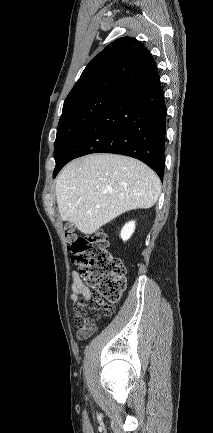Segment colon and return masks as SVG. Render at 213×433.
I'll return each mask as SVG.
<instances>
[{
	"instance_id": "obj_1",
	"label": "colon",
	"mask_w": 213,
	"mask_h": 433,
	"mask_svg": "<svg viewBox=\"0 0 213 433\" xmlns=\"http://www.w3.org/2000/svg\"><path fill=\"white\" fill-rule=\"evenodd\" d=\"M65 237L73 262L91 292L90 299L81 301L76 308L75 323L79 329H85L114 312L126 287L125 266L111 253L108 237L103 231L77 237L68 227ZM88 313H92V317Z\"/></svg>"
}]
</instances>
